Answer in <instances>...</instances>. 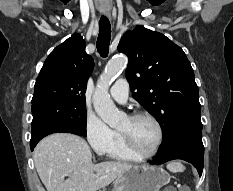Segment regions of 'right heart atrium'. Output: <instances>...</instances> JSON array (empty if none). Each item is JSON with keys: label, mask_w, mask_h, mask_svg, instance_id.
Masks as SVG:
<instances>
[{"label": "right heart atrium", "mask_w": 233, "mask_h": 191, "mask_svg": "<svg viewBox=\"0 0 233 191\" xmlns=\"http://www.w3.org/2000/svg\"><path fill=\"white\" fill-rule=\"evenodd\" d=\"M85 135L91 148L99 156L108 155L118 139V133L94 114L86 117Z\"/></svg>", "instance_id": "right-heart-atrium-1"}]
</instances>
